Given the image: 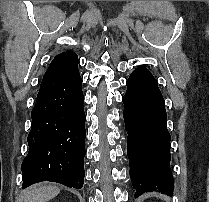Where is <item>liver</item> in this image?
<instances>
[{"label": "liver", "instance_id": "1", "mask_svg": "<svg viewBox=\"0 0 209 202\" xmlns=\"http://www.w3.org/2000/svg\"><path fill=\"white\" fill-rule=\"evenodd\" d=\"M59 192V187L52 185L32 187L25 192L24 202H47Z\"/></svg>", "mask_w": 209, "mask_h": 202}]
</instances>
